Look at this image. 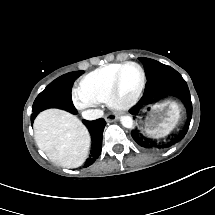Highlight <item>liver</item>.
I'll return each instance as SVG.
<instances>
[{"label":"liver","mask_w":215,"mask_h":215,"mask_svg":"<svg viewBox=\"0 0 215 215\" xmlns=\"http://www.w3.org/2000/svg\"><path fill=\"white\" fill-rule=\"evenodd\" d=\"M34 137L47 157L63 167L77 168L88 157L89 132L75 115L67 111H42L34 121Z\"/></svg>","instance_id":"obj_1"}]
</instances>
